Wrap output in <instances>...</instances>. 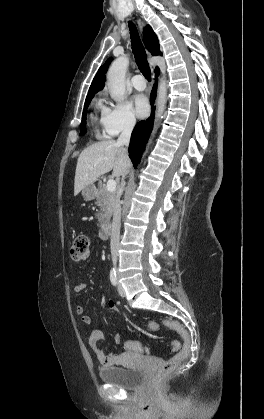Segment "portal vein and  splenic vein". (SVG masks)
<instances>
[{"instance_id":"portal-vein-and-splenic-vein-1","label":"portal vein and splenic vein","mask_w":264,"mask_h":419,"mask_svg":"<svg viewBox=\"0 0 264 419\" xmlns=\"http://www.w3.org/2000/svg\"><path fill=\"white\" fill-rule=\"evenodd\" d=\"M106 188L109 192H115L116 190V181L114 179H110L107 181Z\"/></svg>"}]
</instances>
